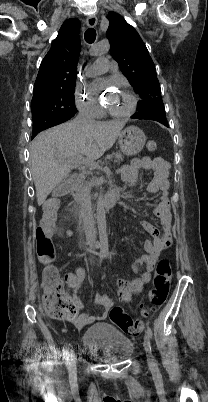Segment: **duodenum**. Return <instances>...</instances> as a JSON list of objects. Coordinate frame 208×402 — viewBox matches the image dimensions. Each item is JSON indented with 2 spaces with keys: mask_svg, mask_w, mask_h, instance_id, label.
I'll return each mask as SVG.
<instances>
[{
  "mask_svg": "<svg viewBox=\"0 0 208 402\" xmlns=\"http://www.w3.org/2000/svg\"><path fill=\"white\" fill-rule=\"evenodd\" d=\"M70 187H71V192L74 195V197L77 199V201L81 204H85L83 192L81 189V177L80 176H74L70 180ZM120 197V189L119 188H113L107 196L103 199L102 205L105 208H112L118 201Z\"/></svg>",
  "mask_w": 208,
  "mask_h": 402,
  "instance_id": "1",
  "label": "duodenum"
}]
</instances>
